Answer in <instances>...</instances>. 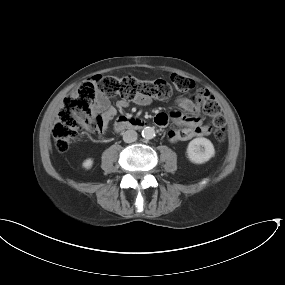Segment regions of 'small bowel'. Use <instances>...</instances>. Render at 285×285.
Masks as SVG:
<instances>
[{
  "label": "small bowel",
  "instance_id": "1",
  "mask_svg": "<svg viewBox=\"0 0 285 285\" xmlns=\"http://www.w3.org/2000/svg\"><path fill=\"white\" fill-rule=\"evenodd\" d=\"M134 102L139 105H148L151 99L146 96L137 97ZM129 101L126 99H119L116 106L112 105L108 98L101 93H97L94 108L101 115L105 121H110L117 114L118 110L126 108ZM176 105L183 111L192 114V117L183 116L177 111H172L167 115L175 123L181 126L179 129H172L168 133V138L173 141H187L194 137L206 135L203 133L205 128L202 127L200 119L197 117L199 113V106L189 98H180L176 101Z\"/></svg>",
  "mask_w": 285,
  "mask_h": 285
}]
</instances>
